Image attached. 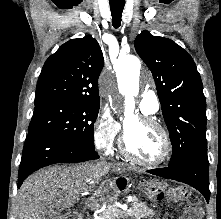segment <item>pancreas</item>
Here are the masks:
<instances>
[{"label": "pancreas", "mask_w": 221, "mask_h": 219, "mask_svg": "<svg viewBox=\"0 0 221 219\" xmlns=\"http://www.w3.org/2000/svg\"><path fill=\"white\" fill-rule=\"evenodd\" d=\"M130 212H124V216L134 219L151 218L156 213L154 210L149 209L143 202H140L137 198H133ZM121 210L115 206L107 207L102 213H100V219H119L121 216Z\"/></svg>", "instance_id": "1"}]
</instances>
